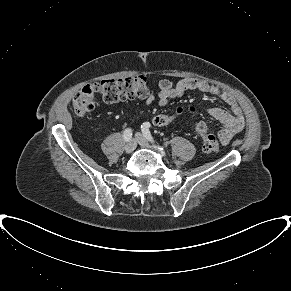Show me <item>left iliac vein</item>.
<instances>
[{
	"label": "left iliac vein",
	"mask_w": 291,
	"mask_h": 291,
	"mask_svg": "<svg viewBox=\"0 0 291 291\" xmlns=\"http://www.w3.org/2000/svg\"><path fill=\"white\" fill-rule=\"evenodd\" d=\"M135 139L139 145L142 147H149V142L144 138V136L140 133H136Z\"/></svg>",
	"instance_id": "obj_1"
}]
</instances>
